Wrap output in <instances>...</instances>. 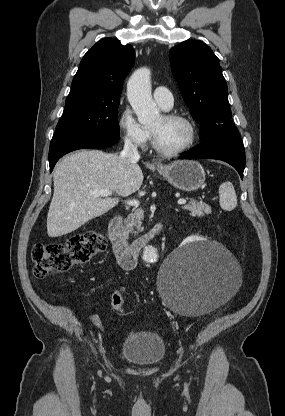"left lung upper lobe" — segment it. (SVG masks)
I'll return each instance as SVG.
<instances>
[{
  "label": "left lung upper lobe",
  "mask_w": 285,
  "mask_h": 416,
  "mask_svg": "<svg viewBox=\"0 0 285 416\" xmlns=\"http://www.w3.org/2000/svg\"><path fill=\"white\" fill-rule=\"evenodd\" d=\"M169 58L182 97L201 125V140L238 132L231 121L219 59L211 48L202 41L187 40L173 47Z\"/></svg>",
  "instance_id": "obj_1"
}]
</instances>
